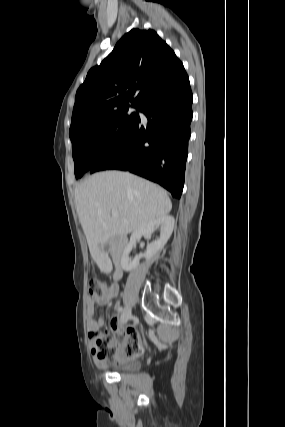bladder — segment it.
Returning a JSON list of instances; mask_svg holds the SVG:
<instances>
[{"mask_svg":"<svg viewBox=\"0 0 285 427\" xmlns=\"http://www.w3.org/2000/svg\"><path fill=\"white\" fill-rule=\"evenodd\" d=\"M122 368L127 371H136L138 369V365L134 362L125 363Z\"/></svg>","mask_w":285,"mask_h":427,"instance_id":"1","label":"bladder"}]
</instances>
